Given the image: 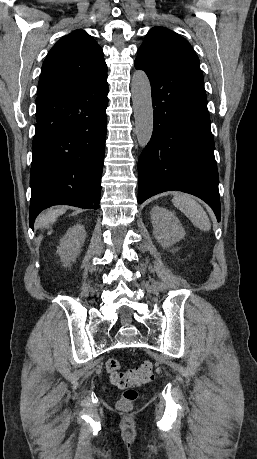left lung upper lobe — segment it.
Segmentation results:
<instances>
[{
	"mask_svg": "<svg viewBox=\"0 0 257 459\" xmlns=\"http://www.w3.org/2000/svg\"><path fill=\"white\" fill-rule=\"evenodd\" d=\"M136 59L160 67L199 68V59L188 41L164 27H154L147 33Z\"/></svg>",
	"mask_w": 257,
	"mask_h": 459,
	"instance_id": "obj_1",
	"label": "left lung upper lobe"
}]
</instances>
